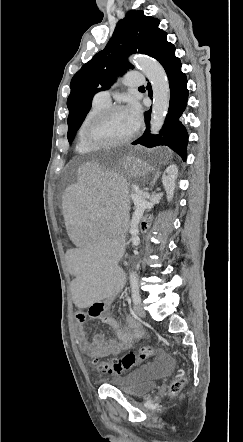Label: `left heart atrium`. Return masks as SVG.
Segmentation results:
<instances>
[{
  "label": "left heart atrium",
  "instance_id": "1",
  "mask_svg": "<svg viewBox=\"0 0 243 442\" xmlns=\"http://www.w3.org/2000/svg\"><path fill=\"white\" fill-rule=\"evenodd\" d=\"M126 114L133 126L134 129H137L141 123V109L139 105L135 102H132L127 109H125Z\"/></svg>",
  "mask_w": 243,
  "mask_h": 442
}]
</instances>
